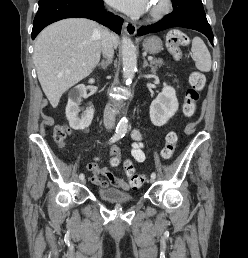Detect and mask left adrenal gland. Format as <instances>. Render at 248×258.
Wrapping results in <instances>:
<instances>
[{
  "label": "left adrenal gland",
  "mask_w": 248,
  "mask_h": 258,
  "mask_svg": "<svg viewBox=\"0 0 248 258\" xmlns=\"http://www.w3.org/2000/svg\"><path fill=\"white\" fill-rule=\"evenodd\" d=\"M145 67H150L152 73L155 71V69L151 65L148 64L147 60L144 57L143 58V68H145Z\"/></svg>",
  "instance_id": "a2214340"
}]
</instances>
